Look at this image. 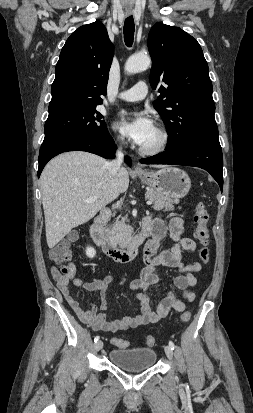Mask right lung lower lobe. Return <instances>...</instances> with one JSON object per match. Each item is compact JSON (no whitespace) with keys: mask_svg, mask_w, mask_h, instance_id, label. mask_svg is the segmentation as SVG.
I'll return each instance as SVG.
<instances>
[{"mask_svg":"<svg viewBox=\"0 0 253 413\" xmlns=\"http://www.w3.org/2000/svg\"><path fill=\"white\" fill-rule=\"evenodd\" d=\"M115 149L116 145L108 131L91 137L69 136L43 142L39 152L38 177L46 163L60 153L86 151L111 159L114 157ZM126 163L131 165L129 157H126Z\"/></svg>","mask_w":253,"mask_h":413,"instance_id":"obj_1","label":"right lung lower lobe"}]
</instances>
